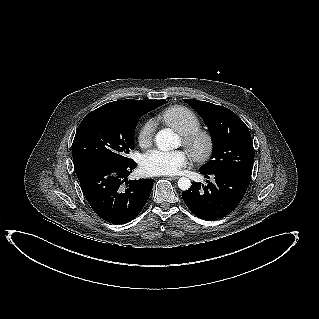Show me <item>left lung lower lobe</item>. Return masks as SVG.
<instances>
[{
  "instance_id": "0a47b994",
  "label": "left lung lower lobe",
  "mask_w": 319,
  "mask_h": 319,
  "mask_svg": "<svg viewBox=\"0 0 319 319\" xmlns=\"http://www.w3.org/2000/svg\"><path fill=\"white\" fill-rule=\"evenodd\" d=\"M206 178H214L207 185L194 182L191 188L182 192L187 207L204 220H214L231 213L242 200L251 179L233 171L206 172Z\"/></svg>"
}]
</instances>
